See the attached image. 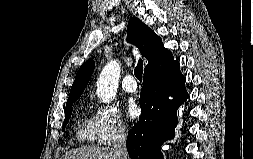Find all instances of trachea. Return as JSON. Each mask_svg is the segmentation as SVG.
I'll use <instances>...</instances> for the list:
<instances>
[{"mask_svg":"<svg viewBox=\"0 0 253 159\" xmlns=\"http://www.w3.org/2000/svg\"><path fill=\"white\" fill-rule=\"evenodd\" d=\"M142 74H143V61L139 59L138 64L134 70V75L140 82L142 81Z\"/></svg>","mask_w":253,"mask_h":159,"instance_id":"trachea-1","label":"trachea"}]
</instances>
